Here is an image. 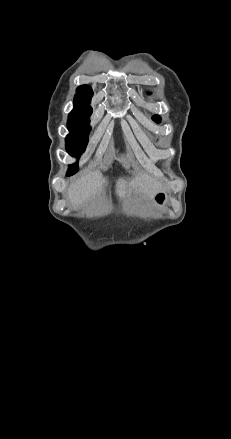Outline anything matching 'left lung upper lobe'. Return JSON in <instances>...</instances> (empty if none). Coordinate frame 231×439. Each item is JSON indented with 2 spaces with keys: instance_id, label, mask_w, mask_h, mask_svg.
Segmentation results:
<instances>
[{
  "instance_id": "1",
  "label": "left lung upper lobe",
  "mask_w": 231,
  "mask_h": 439,
  "mask_svg": "<svg viewBox=\"0 0 231 439\" xmlns=\"http://www.w3.org/2000/svg\"><path fill=\"white\" fill-rule=\"evenodd\" d=\"M153 120H154V121H158V120H160V117L157 116V115H155V116H153Z\"/></svg>"
}]
</instances>
